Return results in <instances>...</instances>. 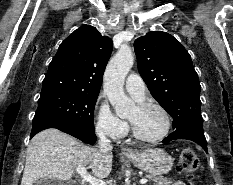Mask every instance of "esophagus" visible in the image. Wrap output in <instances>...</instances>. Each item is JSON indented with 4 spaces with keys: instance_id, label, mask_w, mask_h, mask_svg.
<instances>
[{
    "instance_id": "obj_1",
    "label": "esophagus",
    "mask_w": 233,
    "mask_h": 185,
    "mask_svg": "<svg viewBox=\"0 0 233 185\" xmlns=\"http://www.w3.org/2000/svg\"><path fill=\"white\" fill-rule=\"evenodd\" d=\"M122 153L124 155H132V154H134V151L131 148H123Z\"/></svg>"
}]
</instances>
